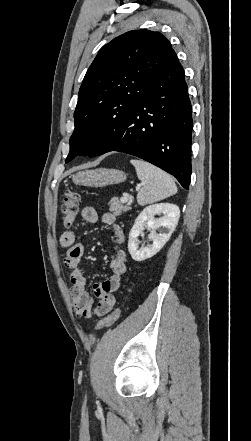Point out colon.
Segmentation results:
<instances>
[{"mask_svg":"<svg viewBox=\"0 0 251 441\" xmlns=\"http://www.w3.org/2000/svg\"><path fill=\"white\" fill-rule=\"evenodd\" d=\"M79 199L80 196L77 192L72 190L66 191L61 206L62 223L65 227H70L75 221L78 212ZM120 315L121 309H115L109 315L97 322L94 326V330L100 331L102 329L112 326L120 318Z\"/></svg>","mask_w":251,"mask_h":441,"instance_id":"1","label":"colon"}]
</instances>
